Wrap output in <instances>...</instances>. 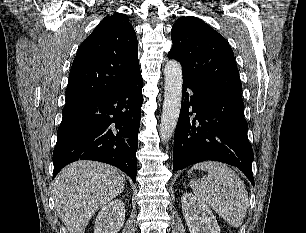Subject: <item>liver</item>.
<instances>
[{"label":"liver","mask_w":306,"mask_h":233,"mask_svg":"<svg viewBox=\"0 0 306 233\" xmlns=\"http://www.w3.org/2000/svg\"><path fill=\"white\" fill-rule=\"evenodd\" d=\"M124 187L125 175L117 168L88 160L74 162L55 179V207L69 233H84L91 217Z\"/></svg>","instance_id":"6515ba94"}]
</instances>
